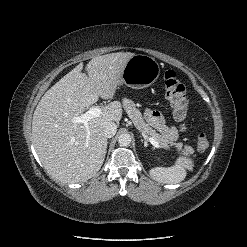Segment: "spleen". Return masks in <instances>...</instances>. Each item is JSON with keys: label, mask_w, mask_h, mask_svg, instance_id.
Here are the masks:
<instances>
[{"label": "spleen", "mask_w": 247, "mask_h": 247, "mask_svg": "<svg viewBox=\"0 0 247 247\" xmlns=\"http://www.w3.org/2000/svg\"><path fill=\"white\" fill-rule=\"evenodd\" d=\"M190 161L185 158L176 160L171 167H154L150 170V176L161 183H179L186 177V169L190 168Z\"/></svg>", "instance_id": "1"}]
</instances>
